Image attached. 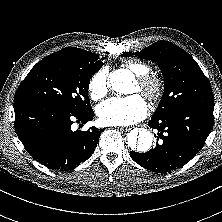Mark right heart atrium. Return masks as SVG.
<instances>
[{
    "instance_id": "obj_1",
    "label": "right heart atrium",
    "mask_w": 222,
    "mask_h": 222,
    "mask_svg": "<svg viewBox=\"0 0 222 222\" xmlns=\"http://www.w3.org/2000/svg\"><path fill=\"white\" fill-rule=\"evenodd\" d=\"M88 90L93 100H100L106 96L108 92V71L105 68L100 69L91 77Z\"/></svg>"
}]
</instances>
